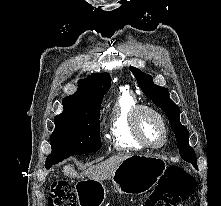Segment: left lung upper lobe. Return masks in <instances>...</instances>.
Instances as JSON below:
<instances>
[{"mask_svg":"<svg viewBox=\"0 0 221 206\" xmlns=\"http://www.w3.org/2000/svg\"><path fill=\"white\" fill-rule=\"evenodd\" d=\"M143 93L160 107L168 116L171 129L175 133L177 148L181 157L197 168V158L192 147L189 146L187 128L180 123L178 106L169 98L168 90L153 83L150 75L135 67H130Z\"/></svg>","mask_w":221,"mask_h":206,"instance_id":"left-lung-upper-lobe-1","label":"left lung upper lobe"}]
</instances>
